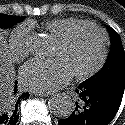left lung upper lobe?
<instances>
[{
    "label": "left lung upper lobe",
    "mask_w": 125,
    "mask_h": 125,
    "mask_svg": "<svg viewBox=\"0 0 125 125\" xmlns=\"http://www.w3.org/2000/svg\"><path fill=\"white\" fill-rule=\"evenodd\" d=\"M107 29L111 38V51L102 69L84 81L88 86L125 78V53L121 38L111 27L108 26Z\"/></svg>",
    "instance_id": "obj_1"
}]
</instances>
